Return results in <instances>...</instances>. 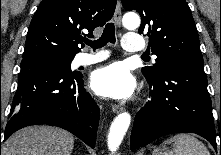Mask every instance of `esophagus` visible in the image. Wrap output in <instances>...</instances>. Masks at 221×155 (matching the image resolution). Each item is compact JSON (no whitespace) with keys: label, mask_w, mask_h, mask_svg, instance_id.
<instances>
[{"label":"esophagus","mask_w":221,"mask_h":155,"mask_svg":"<svg viewBox=\"0 0 221 155\" xmlns=\"http://www.w3.org/2000/svg\"><path fill=\"white\" fill-rule=\"evenodd\" d=\"M114 21L116 23L117 26H121V2L120 0L117 1L116 4V9H115V13H114ZM112 111L114 113H119L121 111H123V107L121 105H112Z\"/></svg>","instance_id":"34e87169"}]
</instances>
